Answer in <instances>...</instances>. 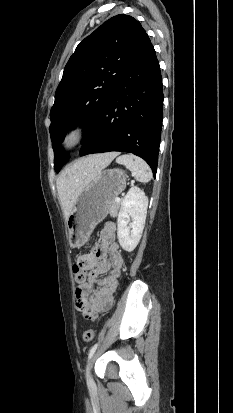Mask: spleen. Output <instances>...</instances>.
<instances>
[{"label": "spleen", "instance_id": "spleen-1", "mask_svg": "<svg viewBox=\"0 0 233 413\" xmlns=\"http://www.w3.org/2000/svg\"><path fill=\"white\" fill-rule=\"evenodd\" d=\"M118 164L124 165L132 172L135 179L142 183H147L152 178V171L149 165L140 157L132 154H124L116 159Z\"/></svg>", "mask_w": 233, "mask_h": 413}]
</instances>
